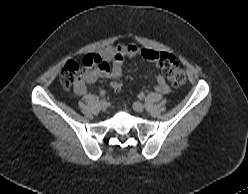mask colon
Returning <instances> with one entry per match:
<instances>
[{
    "label": "colon",
    "instance_id": "5ec220e1",
    "mask_svg": "<svg viewBox=\"0 0 248 194\" xmlns=\"http://www.w3.org/2000/svg\"><path fill=\"white\" fill-rule=\"evenodd\" d=\"M93 61L92 54H89L82 59L81 63L73 60L66 62L60 75V82L62 86L64 88H70L76 84L81 78V65H91ZM154 61L162 72L163 77L168 79L173 86L179 87L185 83L186 73L179 65V62L175 56L165 52H156L154 55ZM122 87L123 84L120 82L111 83V88L115 91L121 90Z\"/></svg>",
    "mask_w": 248,
    "mask_h": 194
}]
</instances>
